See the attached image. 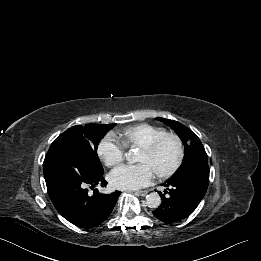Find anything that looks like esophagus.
Masks as SVG:
<instances>
[{
	"instance_id": "obj_1",
	"label": "esophagus",
	"mask_w": 261,
	"mask_h": 261,
	"mask_svg": "<svg viewBox=\"0 0 261 261\" xmlns=\"http://www.w3.org/2000/svg\"><path fill=\"white\" fill-rule=\"evenodd\" d=\"M148 192H149V190L139 191V192H136V195L145 196L148 194Z\"/></svg>"
}]
</instances>
